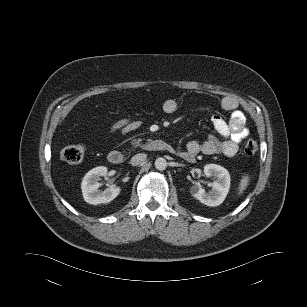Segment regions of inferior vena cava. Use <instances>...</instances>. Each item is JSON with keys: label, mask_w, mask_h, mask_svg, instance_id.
<instances>
[{"label": "inferior vena cava", "mask_w": 307, "mask_h": 307, "mask_svg": "<svg viewBox=\"0 0 307 307\" xmlns=\"http://www.w3.org/2000/svg\"><path fill=\"white\" fill-rule=\"evenodd\" d=\"M147 158V155L144 154V153H138L136 154L135 156H133L131 158V165L133 166H137L139 165L140 163H142L143 161H145V159Z\"/></svg>", "instance_id": "inferior-vena-cava-1"}]
</instances>
